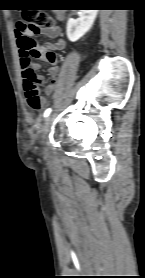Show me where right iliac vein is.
<instances>
[{
    "instance_id": "63e3f726",
    "label": "right iliac vein",
    "mask_w": 145,
    "mask_h": 278,
    "mask_svg": "<svg viewBox=\"0 0 145 278\" xmlns=\"http://www.w3.org/2000/svg\"><path fill=\"white\" fill-rule=\"evenodd\" d=\"M50 120H51V117H47L46 120H45V123L42 127V130H41V139H42V142L44 141L45 137H46V134L49 130V127H50Z\"/></svg>"
}]
</instances>
